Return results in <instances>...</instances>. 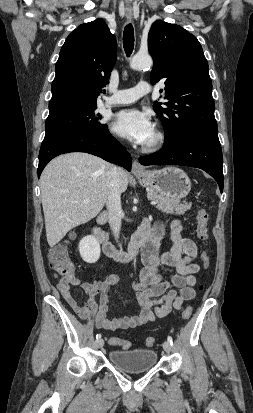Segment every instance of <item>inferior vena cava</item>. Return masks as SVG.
<instances>
[{
  "instance_id": "inferior-vena-cava-1",
  "label": "inferior vena cava",
  "mask_w": 253,
  "mask_h": 413,
  "mask_svg": "<svg viewBox=\"0 0 253 413\" xmlns=\"http://www.w3.org/2000/svg\"><path fill=\"white\" fill-rule=\"evenodd\" d=\"M119 172L120 168L111 165L108 172L109 194L106 202L108 210L109 225L113 231L115 238H119L122 219L121 208V191L119 187Z\"/></svg>"
}]
</instances>
